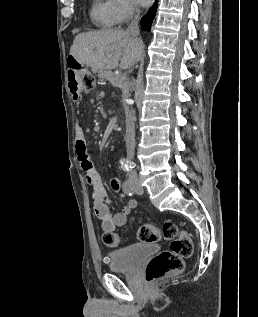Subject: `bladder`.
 Wrapping results in <instances>:
<instances>
[{"instance_id": "bladder-1", "label": "bladder", "mask_w": 258, "mask_h": 317, "mask_svg": "<svg viewBox=\"0 0 258 317\" xmlns=\"http://www.w3.org/2000/svg\"><path fill=\"white\" fill-rule=\"evenodd\" d=\"M159 249L157 244L135 243L114 250L108 254L109 267L112 271L133 270L146 258L155 256Z\"/></svg>"}]
</instances>
